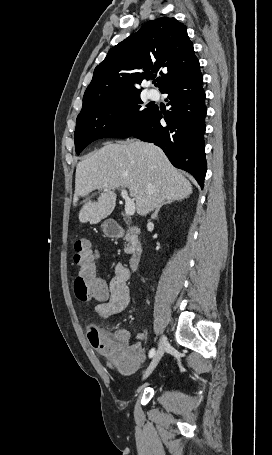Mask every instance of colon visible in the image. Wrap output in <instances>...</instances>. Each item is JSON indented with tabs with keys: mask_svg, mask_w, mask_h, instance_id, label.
Here are the masks:
<instances>
[{
	"mask_svg": "<svg viewBox=\"0 0 272 455\" xmlns=\"http://www.w3.org/2000/svg\"><path fill=\"white\" fill-rule=\"evenodd\" d=\"M74 250V263L80 267V274L74 283L76 297L82 301H104L108 296V287L105 280L96 275L97 253L84 239L75 242ZM87 336L91 345L100 351L109 366L118 370L128 367L131 352L125 344L96 327H90Z\"/></svg>",
	"mask_w": 272,
	"mask_h": 455,
	"instance_id": "colon-1",
	"label": "colon"
}]
</instances>
